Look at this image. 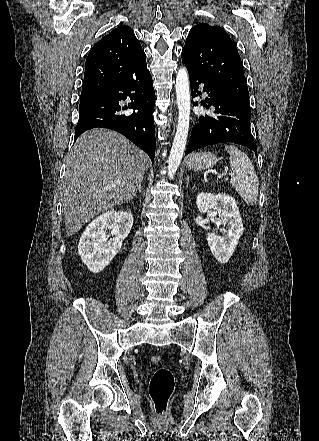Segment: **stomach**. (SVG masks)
<instances>
[{"mask_svg":"<svg viewBox=\"0 0 319 441\" xmlns=\"http://www.w3.org/2000/svg\"><path fill=\"white\" fill-rule=\"evenodd\" d=\"M217 161L218 158L211 152H197L191 155L187 166L189 169L200 171L214 166Z\"/></svg>","mask_w":319,"mask_h":441,"instance_id":"obj_1","label":"stomach"}]
</instances>
